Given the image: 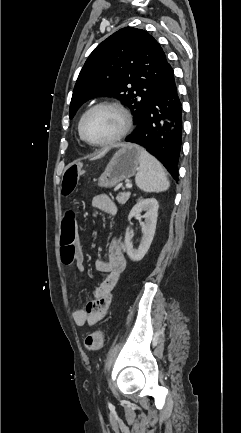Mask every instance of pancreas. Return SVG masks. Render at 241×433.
Listing matches in <instances>:
<instances>
[{
	"mask_svg": "<svg viewBox=\"0 0 241 433\" xmlns=\"http://www.w3.org/2000/svg\"><path fill=\"white\" fill-rule=\"evenodd\" d=\"M130 197V192H122L117 195L116 200L120 205H124Z\"/></svg>",
	"mask_w": 241,
	"mask_h": 433,
	"instance_id": "obj_1",
	"label": "pancreas"
}]
</instances>
